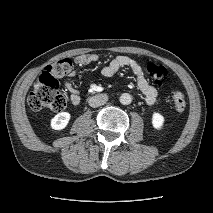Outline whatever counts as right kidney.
Returning <instances> with one entry per match:
<instances>
[{
  "label": "right kidney",
  "mask_w": 213,
  "mask_h": 213,
  "mask_svg": "<svg viewBox=\"0 0 213 213\" xmlns=\"http://www.w3.org/2000/svg\"><path fill=\"white\" fill-rule=\"evenodd\" d=\"M70 118H71V115L68 112L58 113L54 118L51 119L52 129L54 130L64 129L69 123Z\"/></svg>",
  "instance_id": "right-kidney-1"
}]
</instances>
